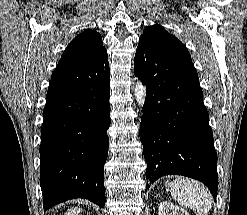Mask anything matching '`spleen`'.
I'll return each instance as SVG.
<instances>
[{"label":"spleen","mask_w":247,"mask_h":215,"mask_svg":"<svg viewBox=\"0 0 247 215\" xmlns=\"http://www.w3.org/2000/svg\"><path fill=\"white\" fill-rule=\"evenodd\" d=\"M172 197L184 207L191 208L196 215H207L212 198L207 188L189 178H178L170 184Z\"/></svg>","instance_id":"1"}]
</instances>
